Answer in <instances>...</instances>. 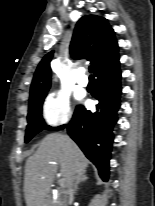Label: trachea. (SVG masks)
Listing matches in <instances>:
<instances>
[{
  "instance_id": "1",
  "label": "trachea",
  "mask_w": 155,
  "mask_h": 206,
  "mask_svg": "<svg viewBox=\"0 0 155 206\" xmlns=\"http://www.w3.org/2000/svg\"><path fill=\"white\" fill-rule=\"evenodd\" d=\"M89 72H90V73H93V66H90V67H89ZM91 77H93V76L91 75Z\"/></svg>"
}]
</instances>
